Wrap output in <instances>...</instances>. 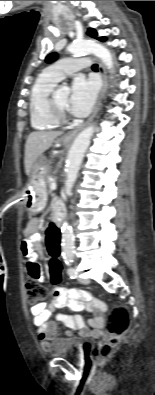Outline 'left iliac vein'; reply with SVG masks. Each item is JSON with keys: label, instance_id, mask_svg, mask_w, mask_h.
Segmentation results:
<instances>
[{"label": "left iliac vein", "instance_id": "1", "mask_svg": "<svg viewBox=\"0 0 155 395\" xmlns=\"http://www.w3.org/2000/svg\"><path fill=\"white\" fill-rule=\"evenodd\" d=\"M79 282L81 284L87 285L90 283L89 279H85V278H78Z\"/></svg>", "mask_w": 155, "mask_h": 395}]
</instances>
